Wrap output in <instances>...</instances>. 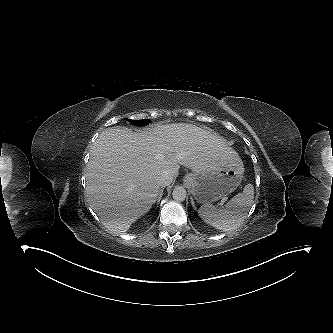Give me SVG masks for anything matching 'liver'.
Segmentation results:
<instances>
[{"instance_id": "obj_1", "label": "liver", "mask_w": 333, "mask_h": 333, "mask_svg": "<svg viewBox=\"0 0 333 333\" xmlns=\"http://www.w3.org/2000/svg\"><path fill=\"white\" fill-rule=\"evenodd\" d=\"M237 160L222 137L194 125H158L140 133L110 127L90 153L87 200L109 230L124 233L156 202L164 171L175 179L180 165L201 172Z\"/></svg>"}]
</instances>
